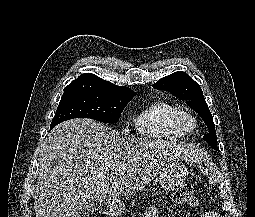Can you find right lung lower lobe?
<instances>
[{
    "instance_id": "1",
    "label": "right lung lower lobe",
    "mask_w": 255,
    "mask_h": 217,
    "mask_svg": "<svg viewBox=\"0 0 255 217\" xmlns=\"http://www.w3.org/2000/svg\"><path fill=\"white\" fill-rule=\"evenodd\" d=\"M53 127H55V126H50V129H52Z\"/></svg>"
}]
</instances>
